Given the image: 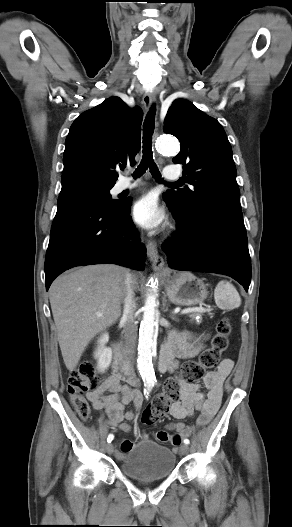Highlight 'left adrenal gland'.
Instances as JSON below:
<instances>
[{
	"label": "left adrenal gland",
	"mask_w": 292,
	"mask_h": 527,
	"mask_svg": "<svg viewBox=\"0 0 292 527\" xmlns=\"http://www.w3.org/2000/svg\"><path fill=\"white\" fill-rule=\"evenodd\" d=\"M171 318H172L173 320L177 321V319H176L174 316H171Z\"/></svg>",
	"instance_id": "obj_1"
}]
</instances>
